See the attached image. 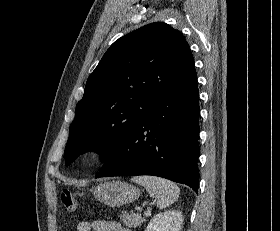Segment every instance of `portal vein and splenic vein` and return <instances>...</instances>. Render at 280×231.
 <instances>
[{"mask_svg":"<svg viewBox=\"0 0 280 231\" xmlns=\"http://www.w3.org/2000/svg\"><path fill=\"white\" fill-rule=\"evenodd\" d=\"M144 215H151L150 209H147V211H144Z\"/></svg>","mask_w":280,"mask_h":231,"instance_id":"1","label":"portal vein and splenic vein"}]
</instances>
